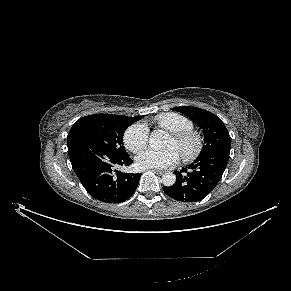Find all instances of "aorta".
<instances>
[{
	"label": "aorta",
	"instance_id": "aorta-1",
	"mask_svg": "<svg viewBox=\"0 0 291 291\" xmlns=\"http://www.w3.org/2000/svg\"><path fill=\"white\" fill-rule=\"evenodd\" d=\"M168 139V134L162 130L154 132L151 134L149 143L153 149H160L164 146L166 140ZM162 182L165 186L170 187L175 184L176 176L172 172H166L162 175Z\"/></svg>",
	"mask_w": 291,
	"mask_h": 291
}]
</instances>
